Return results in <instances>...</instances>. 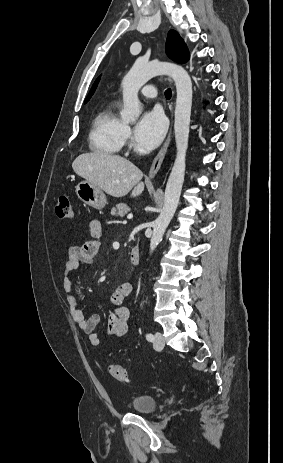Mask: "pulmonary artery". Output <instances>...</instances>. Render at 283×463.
<instances>
[{"instance_id": "1", "label": "pulmonary artery", "mask_w": 283, "mask_h": 463, "mask_svg": "<svg viewBox=\"0 0 283 463\" xmlns=\"http://www.w3.org/2000/svg\"><path fill=\"white\" fill-rule=\"evenodd\" d=\"M141 95L147 98H155L157 96L156 87L153 85H147L141 89Z\"/></svg>"}]
</instances>
